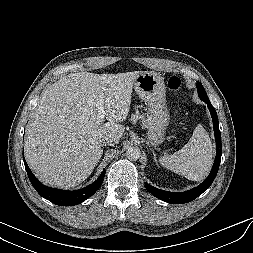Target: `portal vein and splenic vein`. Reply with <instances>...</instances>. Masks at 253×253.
Masks as SVG:
<instances>
[{
    "instance_id": "1",
    "label": "portal vein and splenic vein",
    "mask_w": 253,
    "mask_h": 253,
    "mask_svg": "<svg viewBox=\"0 0 253 253\" xmlns=\"http://www.w3.org/2000/svg\"><path fill=\"white\" fill-rule=\"evenodd\" d=\"M97 106H98V115H97V122L101 123L103 122L104 118H105V111H104V107H103V101L100 99L96 102Z\"/></svg>"
}]
</instances>
